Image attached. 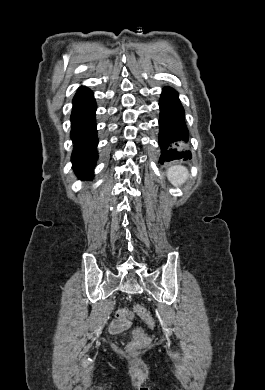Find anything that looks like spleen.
<instances>
[{"label":"spleen","mask_w":265,"mask_h":390,"mask_svg":"<svg viewBox=\"0 0 265 390\" xmlns=\"http://www.w3.org/2000/svg\"><path fill=\"white\" fill-rule=\"evenodd\" d=\"M188 170L184 166L175 165L171 166L167 171V178L173 185H181L188 178Z\"/></svg>","instance_id":"obj_1"}]
</instances>
